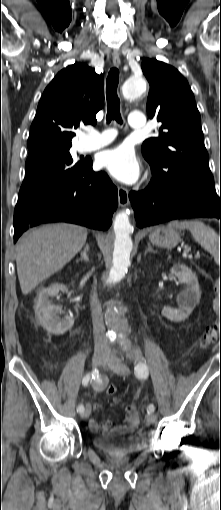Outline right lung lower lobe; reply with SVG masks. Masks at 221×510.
Returning <instances> with one entry per match:
<instances>
[{"mask_svg": "<svg viewBox=\"0 0 221 510\" xmlns=\"http://www.w3.org/2000/svg\"><path fill=\"white\" fill-rule=\"evenodd\" d=\"M118 205V192L105 172H94L92 161L73 181L31 198L14 213V241L30 227L69 222L106 230Z\"/></svg>", "mask_w": 221, "mask_h": 510, "instance_id": "right-lung-lower-lobe-1", "label": "right lung lower lobe"}]
</instances>
